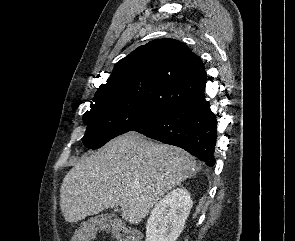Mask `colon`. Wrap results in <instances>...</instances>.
Wrapping results in <instances>:
<instances>
[{
  "label": "colon",
  "mask_w": 295,
  "mask_h": 241,
  "mask_svg": "<svg viewBox=\"0 0 295 241\" xmlns=\"http://www.w3.org/2000/svg\"><path fill=\"white\" fill-rule=\"evenodd\" d=\"M97 221H99L100 224L103 222V226L108 228L117 241H137V236L134 231L120 219L105 218L98 219ZM94 233V228L89 226L83 227L74 233L72 241H89Z\"/></svg>",
  "instance_id": "colon-1"
}]
</instances>
